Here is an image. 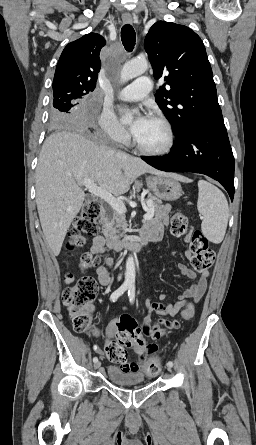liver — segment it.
<instances>
[{
    "instance_id": "liver-1",
    "label": "liver",
    "mask_w": 256,
    "mask_h": 445,
    "mask_svg": "<svg viewBox=\"0 0 256 445\" xmlns=\"http://www.w3.org/2000/svg\"><path fill=\"white\" fill-rule=\"evenodd\" d=\"M145 173L170 175L80 133L61 131L47 137L36 168V204L53 254L59 255L67 230L81 209L83 180L91 179L118 196ZM170 176L183 180L178 175Z\"/></svg>"
}]
</instances>
